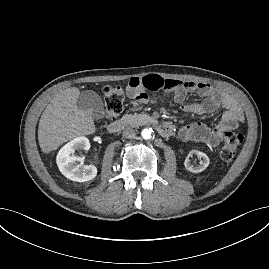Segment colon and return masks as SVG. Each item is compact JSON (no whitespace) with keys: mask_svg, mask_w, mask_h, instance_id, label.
I'll list each match as a JSON object with an SVG mask.
<instances>
[{"mask_svg":"<svg viewBox=\"0 0 269 269\" xmlns=\"http://www.w3.org/2000/svg\"><path fill=\"white\" fill-rule=\"evenodd\" d=\"M103 97L106 105L107 115L115 119L123 110L125 92L120 86L108 85L103 89ZM244 136L237 131L229 130L225 133L220 149V157L225 162H230L239 150Z\"/></svg>","mask_w":269,"mask_h":269,"instance_id":"1","label":"colon"}]
</instances>
